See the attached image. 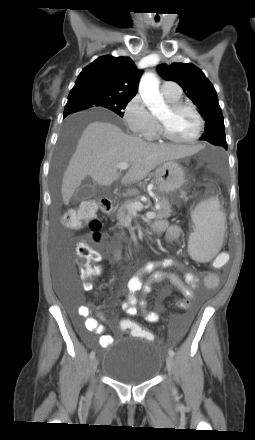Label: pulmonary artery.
<instances>
[{
  "instance_id": "e3ab8cb5",
  "label": "pulmonary artery",
  "mask_w": 255,
  "mask_h": 440,
  "mask_svg": "<svg viewBox=\"0 0 255 440\" xmlns=\"http://www.w3.org/2000/svg\"><path fill=\"white\" fill-rule=\"evenodd\" d=\"M161 92L165 96H180L181 95V89L177 87V85L171 81H165L163 82L161 86Z\"/></svg>"
}]
</instances>
